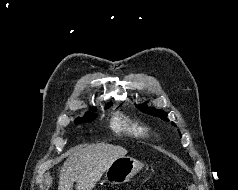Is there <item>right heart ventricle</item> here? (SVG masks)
<instances>
[{
  "mask_svg": "<svg viewBox=\"0 0 238 190\" xmlns=\"http://www.w3.org/2000/svg\"><path fill=\"white\" fill-rule=\"evenodd\" d=\"M111 127L114 131H124L137 136H145L147 134V130L144 127L138 123L132 122L122 115H116L113 118Z\"/></svg>",
  "mask_w": 238,
  "mask_h": 190,
  "instance_id": "1",
  "label": "right heart ventricle"
}]
</instances>
